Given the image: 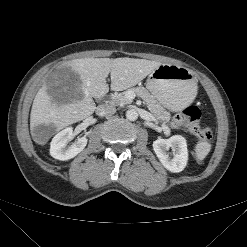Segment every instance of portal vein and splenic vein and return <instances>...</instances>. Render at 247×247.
Masks as SVG:
<instances>
[{
    "label": "portal vein and splenic vein",
    "instance_id": "portal-vein-and-splenic-vein-1",
    "mask_svg": "<svg viewBox=\"0 0 247 247\" xmlns=\"http://www.w3.org/2000/svg\"><path fill=\"white\" fill-rule=\"evenodd\" d=\"M134 97H135V95H133V94L130 93V92L128 93V96H127L128 99L132 100Z\"/></svg>",
    "mask_w": 247,
    "mask_h": 247
}]
</instances>
